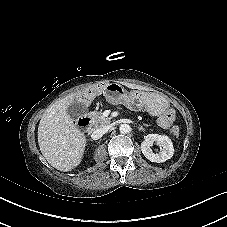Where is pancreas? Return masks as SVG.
<instances>
[{
    "instance_id": "pancreas-1",
    "label": "pancreas",
    "mask_w": 227,
    "mask_h": 227,
    "mask_svg": "<svg viewBox=\"0 0 227 227\" xmlns=\"http://www.w3.org/2000/svg\"><path fill=\"white\" fill-rule=\"evenodd\" d=\"M90 116L92 117V120L96 127H103L110 124V120L108 118H105L101 111H93L90 113ZM170 134H172L173 136H178L179 135L178 127L176 126L172 127V129L170 130Z\"/></svg>"
}]
</instances>
